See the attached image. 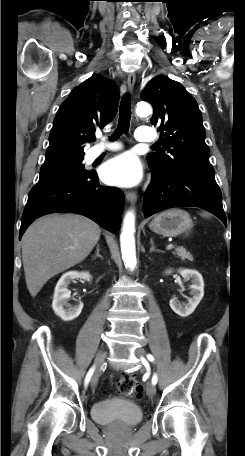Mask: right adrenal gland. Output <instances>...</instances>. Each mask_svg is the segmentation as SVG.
<instances>
[{
  "instance_id": "right-adrenal-gland-1",
  "label": "right adrenal gland",
  "mask_w": 245,
  "mask_h": 456,
  "mask_svg": "<svg viewBox=\"0 0 245 456\" xmlns=\"http://www.w3.org/2000/svg\"><path fill=\"white\" fill-rule=\"evenodd\" d=\"M99 252H100V245L97 244V246H96V252H95V255H94L93 257H94V258L99 257V258L103 259V257L100 255Z\"/></svg>"
}]
</instances>
